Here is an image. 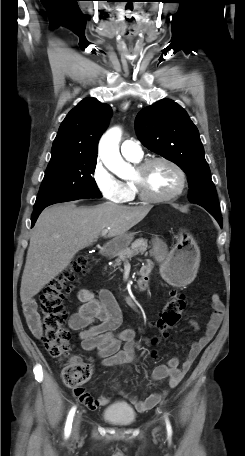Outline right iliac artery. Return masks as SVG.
I'll use <instances>...</instances> for the list:
<instances>
[{"mask_svg": "<svg viewBox=\"0 0 245 456\" xmlns=\"http://www.w3.org/2000/svg\"><path fill=\"white\" fill-rule=\"evenodd\" d=\"M75 411H76V407L74 406L69 414H68V417H67V420H66V424H65V437H69L70 433H71V428H72V422H73V418H74V415H75Z\"/></svg>", "mask_w": 245, "mask_h": 456, "instance_id": "1", "label": "right iliac artery"}]
</instances>
